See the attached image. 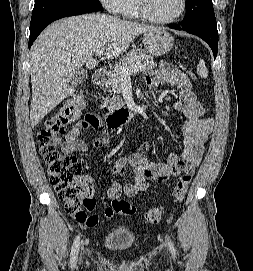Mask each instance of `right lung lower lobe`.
Segmentation results:
<instances>
[{"instance_id": "obj_1", "label": "right lung lower lobe", "mask_w": 253, "mask_h": 271, "mask_svg": "<svg viewBox=\"0 0 253 271\" xmlns=\"http://www.w3.org/2000/svg\"><path fill=\"white\" fill-rule=\"evenodd\" d=\"M90 13L89 11H85L82 9H69L51 13L39 21H37L34 25L30 26V37H29V48L33 44L34 40L38 37V35L42 32V30L51 22L58 20L63 17H69L74 15H81Z\"/></svg>"}]
</instances>
